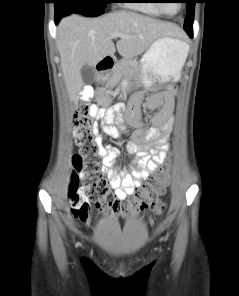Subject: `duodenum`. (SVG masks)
Masks as SVG:
<instances>
[{"label": "duodenum", "instance_id": "410a0bca", "mask_svg": "<svg viewBox=\"0 0 239 296\" xmlns=\"http://www.w3.org/2000/svg\"><path fill=\"white\" fill-rule=\"evenodd\" d=\"M115 65L114 59L110 56L103 57L97 64V70L100 73L110 71Z\"/></svg>", "mask_w": 239, "mask_h": 296}]
</instances>
